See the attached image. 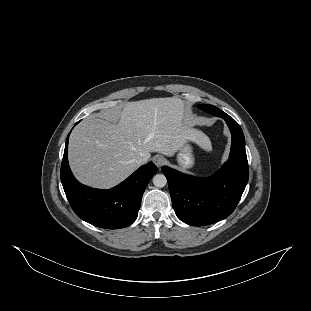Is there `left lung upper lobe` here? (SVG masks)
Returning <instances> with one entry per match:
<instances>
[{
  "label": "left lung upper lobe",
  "instance_id": "obj_1",
  "mask_svg": "<svg viewBox=\"0 0 311 311\" xmlns=\"http://www.w3.org/2000/svg\"><path fill=\"white\" fill-rule=\"evenodd\" d=\"M198 108L214 116H218V117H220L221 114L223 113V111H221L220 109H218L217 107L213 105L201 104V105H198Z\"/></svg>",
  "mask_w": 311,
  "mask_h": 311
}]
</instances>
